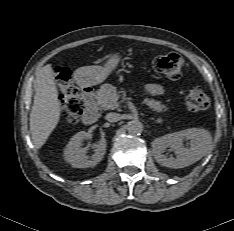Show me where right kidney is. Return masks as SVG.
<instances>
[{
	"instance_id": "obj_1",
	"label": "right kidney",
	"mask_w": 234,
	"mask_h": 231,
	"mask_svg": "<svg viewBox=\"0 0 234 231\" xmlns=\"http://www.w3.org/2000/svg\"><path fill=\"white\" fill-rule=\"evenodd\" d=\"M90 138L85 131L76 133L68 142L64 149L65 160L74 168H87L98 164L106 152V140L101 138L95 145V153L89 157L86 155L87 149L81 148V142Z\"/></svg>"
}]
</instances>
